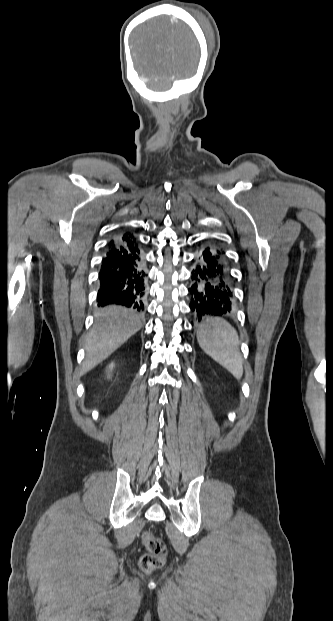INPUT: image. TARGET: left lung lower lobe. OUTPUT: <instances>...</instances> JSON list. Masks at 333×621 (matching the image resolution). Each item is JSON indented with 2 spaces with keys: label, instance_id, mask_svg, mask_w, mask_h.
I'll use <instances>...</instances> for the list:
<instances>
[{
  "label": "left lung lower lobe",
  "instance_id": "1",
  "mask_svg": "<svg viewBox=\"0 0 333 621\" xmlns=\"http://www.w3.org/2000/svg\"><path fill=\"white\" fill-rule=\"evenodd\" d=\"M193 262L189 306L197 319L206 315H230L233 293L225 252L215 244H207Z\"/></svg>",
  "mask_w": 333,
  "mask_h": 621
}]
</instances>
